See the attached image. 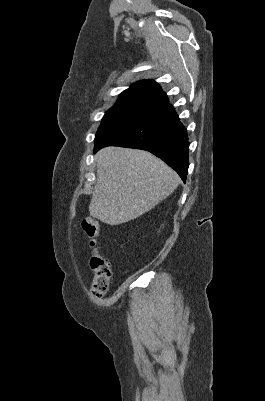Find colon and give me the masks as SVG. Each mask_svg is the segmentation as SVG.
<instances>
[{
    "label": "colon",
    "mask_w": 265,
    "mask_h": 401,
    "mask_svg": "<svg viewBox=\"0 0 265 401\" xmlns=\"http://www.w3.org/2000/svg\"><path fill=\"white\" fill-rule=\"evenodd\" d=\"M82 226L85 233L91 239V245L96 248L100 231L98 221L93 217H85L83 219ZM90 266L94 272V278L91 284V294L95 298H101L109 289L112 277L110 262L97 251H95L90 260Z\"/></svg>",
    "instance_id": "5ec220e1"
}]
</instances>
